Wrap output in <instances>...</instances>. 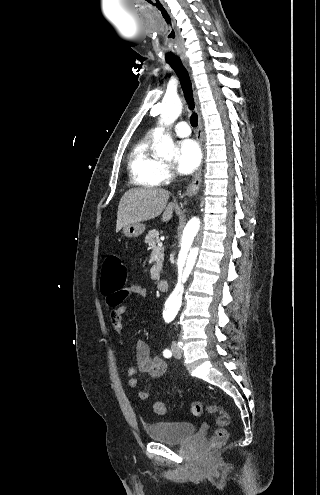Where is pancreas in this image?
Segmentation results:
<instances>
[{"instance_id": "obj_1", "label": "pancreas", "mask_w": 320, "mask_h": 495, "mask_svg": "<svg viewBox=\"0 0 320 495\" xmlns=\"http://www.w3.org/2000/svg\"><path fill=\"white\" fill-rule=\"evenodd\" d=\"M160 242L159 240V232L157 230H151L145 237V243L148 244L150 249H159L160 258L157 261V265L154 267H161L163 262V251L161 247H158L157 244Z\"/></svg>"}]
</instances>
